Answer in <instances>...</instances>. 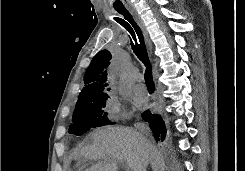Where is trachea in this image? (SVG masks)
I'll use <instances>...</instances> for the list:
<instances>
[{"label": "trachea", "mask_w": 245, "mask_h": 171, "mask_svg": "<svg viewBox=\"0 0 245 171\" xmlns=\"http://www.w3.org/2000/svg\"><path fill=\"white\" fill-rule=\"evenodd\" d=\"M113 6L115 10L123 16V18H115L116 22H118L128 31V33L130 34L132 50L146 66L144 75L146 85L154 86L151 64L148 58L143 34L140 27L137 25L131 13L127 10V8L121 1H116Z\"/></svg>", "instance_id": "1"}]
</instances>
